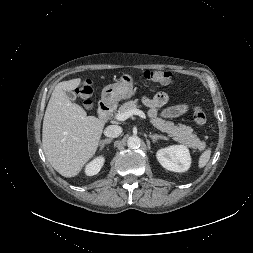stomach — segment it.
Here are the masks:
<instances>
[{
  "instance_id": "0dacf381",
  "label": "stomach",
  "mask_w": 253,
  "mask_h": 253,
  "mask_svg": "<svg viewBox=\"0 0 253 253\" xmlns=\"http://www.w3.org/2000/svg\"><path fill=\"white\" fill-rule=\"evenodd\" d=\"M132 95L133 79L129 74H123L119 82L107 85L102 90V100L108 103L130 99Z\"/></svg>"
}]
</instances>
